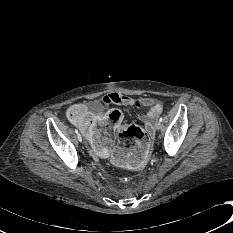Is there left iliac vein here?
<instances>
[{
    "label": "left iliac vein",
    "mask_w": 233,
    "mask_h": 233,
    "mask_svg": "<svg viewBox=\"0 0 233 233\" xmlns=\"http://www.w3.org/2000/svg\"><path fill=\"white\" fill-rule=\"evenodd\" d=\"M161 127H162V123H161L160 121L156 122V124H155V129H156V130H160Z\"/></svg>",
    "instance_id": "4c4485c4"
}]
</instances>
